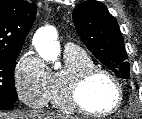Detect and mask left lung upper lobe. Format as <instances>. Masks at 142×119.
Returning a JSON list of instances; mask_svg holds the SVG:
<instances>
[{
  "label": "left lung upper lobe",
  "mask_w": 142,
  "mask_h": 119,
  "mask_svg": "<svg viewBox=\"0 0 142 119\" xmlns=\"http://www.w3.org/2000/svg\"><path fill=\"white\" fill-rule=\"evenodd\" d=\"M76 30L93 55L117 76L129 78V63L116 19L96 0L80 3L73 11Z\"/></svg>",
  "instance_id": "1"
}]
</instances>
